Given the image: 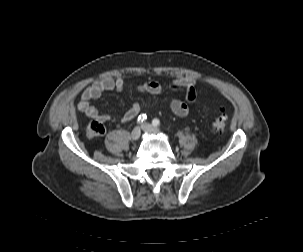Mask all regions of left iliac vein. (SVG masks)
<instances>
[{
  "label": "left iliac vein",
  "instance_id": "left-iliac-vein-1",
  "mask_svg": "<svg viewBox=\"0 0 303 252\" xmlns=\"http://www.w3.org/2000/svg\"><path fill=\"white\" fill-rule=\"evenodd\" d=\"M141 128L143 131L147 132V133H152V134H157L160 132V130L156 127H153L151 124L149 123H143L141 125Z\"/></svg>",
  "mask_w": 303,
  "mask_h": 252
}]
</instances>
